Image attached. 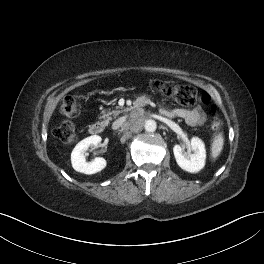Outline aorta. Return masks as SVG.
I'll return each instance as SVG.
<instances>
[{"mask_svg":"<svg viewBox=\"0 0 264 264\" xmlns=\"http://www.w3.org/2000/svg\"><path fill=\"white\" fill-rule=\"evenodd\" d=\"M144 128L147 132H154L157 128V124L154 120L149 119L145 121Z\"/></svg>","mask_w":264,"mask_h":264,"instance_id":"1","label":"aorta"}]
</instances>
